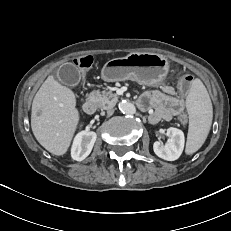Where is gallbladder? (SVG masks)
Returning <instances> with one entry per match:
<instances>
[{
  "instance_id": "gallbladder-1",
  "label": "gallbladder",
  "mask_w": 231,
  "mask_h": 231,
  "mask_svg": "<svg viewBox=\"0 0 231 231\" xmlns=\"http://www.w3.org/2000/svg\"><path fill=\"white\" fill-rule=\"evenodd\" d=\"M79 74L78 69L71 63L64 64L57 70L58 80L69 87H74L80 82Z\"/></svg>"
}]
</instances>
